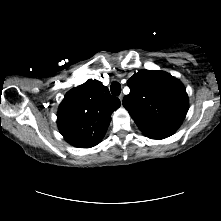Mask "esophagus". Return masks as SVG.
<instances>
[{
	"label": "esophagus",
	"instance_id": "obj_1",
	"mask_svg": "<svg viewBox=\"0 0 221 221\" xmlns=\"http://www.w3.org/2000/svg\"><path fill=\"white\" fill-rule=\"evenodd\" d=\"M119 99H120V101H121V103H122V100H123V94H120Z\"/></svg>",
	"mask_w": 221,
	"mask_h": 221
}]
</instances>
